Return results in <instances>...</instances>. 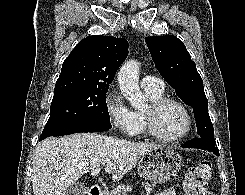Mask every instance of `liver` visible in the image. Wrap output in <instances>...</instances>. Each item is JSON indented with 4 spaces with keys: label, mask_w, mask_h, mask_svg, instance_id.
<instances>
[{
    "label": "liver",
    "mask_w": 245,
    "mask_h": 195,
    "mask_svg": "<svg viewBox=\"0 0 245 195\" xmlns=\"http://www.w3.org/2000/svg\"><path fill=\"white\" fill-rule=\"evenodd\" d=\"M158 147L161 145L96 133L45 139L35 150L34 195H68L70 184L101 165L114 181H119L136 166L142 155Z\"/></svg>",
    "instance_id": "6515ba94"
}]
</instances>
